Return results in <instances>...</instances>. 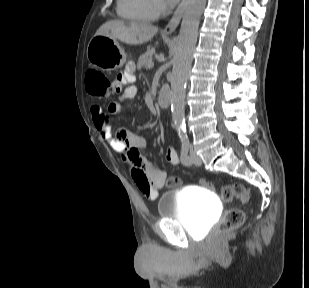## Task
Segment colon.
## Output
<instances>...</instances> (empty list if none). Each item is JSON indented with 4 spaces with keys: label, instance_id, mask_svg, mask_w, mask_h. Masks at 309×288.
<instances>
[{
    "label": "colon",
    "instance_id": "1",
    "mask_svg": "<svg viewBox=\"0 0 309 288\" xmlns=\"http://www.w3.org/2000/svg\"><path fill=\"white\" fill-rule=\"evenodd\" d=\"M85 85L91 95L102 99H106L122 89L119 84L111 82L103 73L96 70H90L86 74ZM180 183L181 181L178 177L173 176L166 179V185L171 188L178 187ZM200 184L206 188L211 187L210 183L205 180H201ZM218 194L223 202H231L237 199L242 203H246L249 200L247 189L240 183L221 186L218 188ZM244 220L245 214L240 208L227 210L215 229L213 237L217 239L224 236L229 231L240 227Z\"/></svg>",
    "mask_w": 309,
    "mask_h": 288
}]
</instances>
